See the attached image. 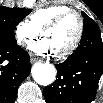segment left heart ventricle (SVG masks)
Listing matches in <instances>:
<instances>
[{"instance_id": "left-heart-ventricle-1", "label": "left heart ventricle", "mask_w": 103, "mask_h": 103, "mask_svg": "<svg viewBox=\"0 0 103 103\" xmlns=\"http://www.w3.org/2000/svg\"><path fill=\"white\" fill-rule=\"evenodd\" d=\"M77 30L78 19L75 16H70L56 28L46 32L43 36L50 41L53 51L56 53L70 45L76 36Z\"/></svg>"}]
</instances>
